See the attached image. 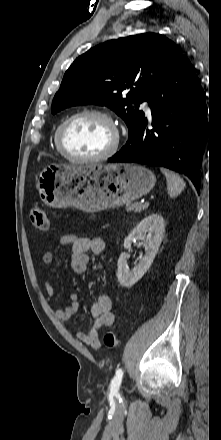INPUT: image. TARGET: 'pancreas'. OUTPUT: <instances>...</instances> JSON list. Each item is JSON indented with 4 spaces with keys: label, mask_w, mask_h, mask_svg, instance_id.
Masks as SVG:
<instances>
[{
    "label": "pancreas",
    "mask_w": 221,
    "mask_h": 440,
    "mask_svg": "<svg viewBox=\"0 0 221 440\" xmlns=\"http://www.w3.org/2000/svg\"><path fill=\"white\" fill-rule=\"evenodd\" d=\"M148 206L141 203H129L126 205V211L131 212L134 211L135 213H139L142 210H146Z\"/></svg>",
    "instance_id": "obj_1"
}]
</instances>
